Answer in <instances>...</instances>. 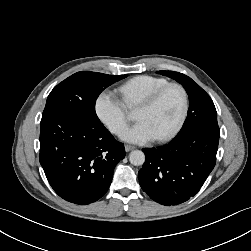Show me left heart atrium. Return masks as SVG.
<instances>
[{
	"label": "left heart atrium",
	"instance_id": "left-heart-atrium-1",
	"mask_svg": "<svg viewBox=\"0 0 251 251\" xmlns=\"http://www.w3.org/2000/svg\"><path fill=\"white\" fill-rule=\"evenodd\" d=\"M121 138L127 142L144 144L155 140L156 136L147 122L138 121L136 124L123 131Z\"/></svg>",
	"mask_w": 251,
	"mask_h": 251
}]
</instances>
